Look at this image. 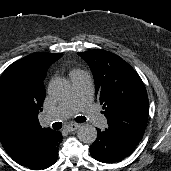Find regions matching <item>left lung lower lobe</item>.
<instances>
[{
	"mask_svg": "<svg viewBox=\"0 0 171 171\" xmlns=\"http://www.w3.org/2000/svg\"><path fill=\"white\" fill-rule=\"evenodd\" d=\"M139 141L107 128L97 129V139L90 147L93 158L103 163H115L131 154Z\"/></svg>",
	"mask_w": 171,
	"mask_h": 171,
	"instance_id": "1",
	"label": "left lung lower lobe"
}]
</instances>
